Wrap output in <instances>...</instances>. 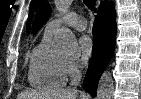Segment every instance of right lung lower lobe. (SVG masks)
<instances>
[{
  "instance_id": "1",
  "label": "right lung lower lobe",
  "mask_w": 141,
  "mask_h": 99,
  "mask_svg": "<svg viewBox=\"0 0 141 99\" xmlns=\"http://www.w3.org/2000/svg\"><path fill=\"white\" fill-rule=\"evenodd\" d=\"M93 52L83 86L93 97L99 77L109 63L115 48L116 21L113 5L105 1L101 3L93 26Z\"/></svg>"
}]
</instances>
